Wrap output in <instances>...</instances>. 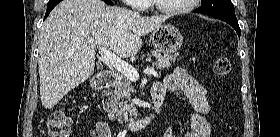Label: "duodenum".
<instances>
[{
    "label": "duodenum",
    "mask_w": 280,
    "mask_h": 137,
    "mask_svg": "<svg viewBox=\"0 0 280 137\" xmlns=\"http://www.w3.org/2000/svg\"><path fill=\"white\" fill-rule=\"evenodd\" d=\"M116 82V74L110 72L106 74L97 84V91H102L112 87ZM153 109L144 117L138 118L134 121L126 123L122 126L123 130L126 131H138L151 126L159 117L161 113V106L164 101V90L161 84L156 83L151 89ZM93 109L95 113L100 112V105L98 102L94 103Z\"/></svg>",
    "instance_id": "1"
}]
</instances>
